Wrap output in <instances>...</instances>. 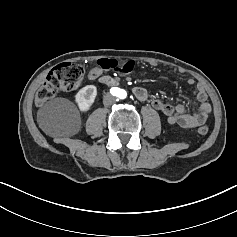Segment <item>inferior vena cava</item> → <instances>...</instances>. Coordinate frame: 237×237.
Listing matches in <instances>:
<instances>
[{"label": "inferior vena cava", "instance_id": "obj_1", "mask_svg": "<svg viewBox=\"0 0 237 237\" xmlns=\"http://www.w3.org/2000/svg\"><path fill=\"white\" fill-rule=\"evenodd\" d=\"M116 101V98L111 94H106L103 100V103L106 107L110 106L112 103Z\"/></svg>", "mask_w": 237, "mask_h": 237}]
</instances>
